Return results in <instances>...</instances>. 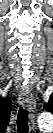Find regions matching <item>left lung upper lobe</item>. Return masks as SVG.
<instances>
[{"label":"left lung upper lobe","mask_w":53,"mask_h":133,"mask_svg":"<svg viewBox=\"0 0 53 133\" xmlns=\"http://www.w3.org/2000/svg\"><path fill=\"white\" fill-rule=\"evenodd\" d=\"M52 106H53V101H52V98L51 100L49 101V103L45 104L44 105V108L50 112H53V109H52Z\"/></svg>","instance_id":"5c2ea615"}]
</instances>
